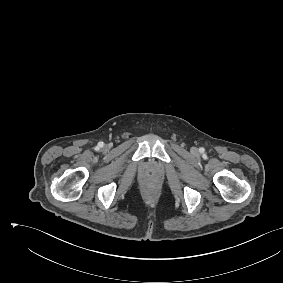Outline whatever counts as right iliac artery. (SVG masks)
<instances>
[{
  "label": "right iliac artery",
  "instance_id": "obj_1",
  "mask_svg": "<svg viewBox=\"0 0 283 283\" xmlns=\"http://www.w3.org/2000/svg\"><path fill=\"white\" fill-rule=\"evenodd\" d=\"M98 146H99V147H102V146H103V143H102V142L98 143Z\"/></svg>",
  "mask_w": 283,
  "mask_h": 283
}]
</instances>
